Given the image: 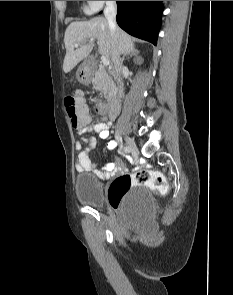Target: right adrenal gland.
Here are the masks:
<instances>
[{"mask_svg": "<svg viewBox=\"0 0 233 295\" xmlns=\"http://www.w3.org/2000/svg\"><path fill=\"white\" fill-rule=\"evenodd\" d=\"M138 53H139L138 50L133 49L132 52H130V53L127 54V56H126V54L123 56V58H122V62L125 60V57H127V59H129V58L132 57V56H136V55H138Z\"/></svg>", "mask_w": 233, "mask_h": 295, "instance_id": "obj_1", "label": "right adrenal gland"}]
</instances>
